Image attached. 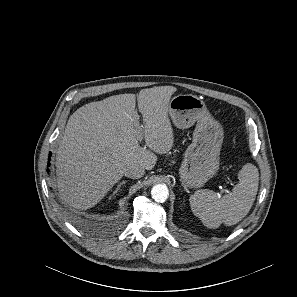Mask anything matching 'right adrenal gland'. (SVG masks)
Segmentation results:
<instances>
[{
    "mask_svg": "<svg viewBox=\"0 0 297 297\" xmlns=\"http://www.w3.org/2000/svg\"><path fill=\"white\" fill-rule=\"evenodd\" d=\"M125 183H126V181H122L121 183H119L118 186H117V188H116V190L114 191V194L117 193L118 190H120V187H121L123 184H125Z\"/></svg>",
    "mask_w": 297,
    "mask_h": 297,
    "instance_id": "right-adrenal-gland-1",
    "label": "right adrenal gland"
}]
</instances>
